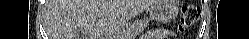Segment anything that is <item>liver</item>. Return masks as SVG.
I'll return each mask as SVG.
<instances>
[{
	"instance_id": "liver-1",
	"label": "liver",
	"mask_w": 249,
	"mask_h": 39,
	"mask_svg": "<svg viewBox=\"0 0 249 39\" xmlns=\"http://www.w3.org/2000/svg\"><path fill=\"white\" fill-rule=\"evenodd\" d=\"M157 0H49L46 27L51 39H112L130 19Z\"/></svg>"
}]
</instances>
